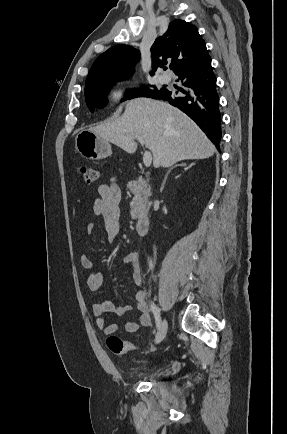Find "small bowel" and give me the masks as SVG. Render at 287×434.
I'll return each mask as SVG.
<instances>
[{"label": "small bowel", "instance_id": "1", "mask_svg": "<svg viewBox=\"0 0 287 434\" xmlns=\"http://www.w3.org/2000/svg\"><path fill=\"white\" fill-rule=\"evenodd\" d=\"M99 197L93 203L92 212L95 216L101 217L104 222V237L105 242L110 244L115 241L121 233L120 223V190L112 179L109 184H101L97 187ZM95 231L93 224L86 226V233L92 235ZM124 265L132 267L133 283L140 287L143 282L142 268L140 265L139 255L136 252H130L125 255L122 260ZM80 265L82 268L89 270L87 277V286L90 290L95 291L101 286L106 274L103 271L95 270L94 263L86 256L80 257ZM136 308L139 312L138 321H127L124 325L125 331L133 334L138 331L140 326L148 327L151 324V316L146 302V294L143 290H138L135 293ZM132 309L131 305H122L117 301L109 300L102 303L92 302L91 311L97 317V326L104 331L106 335H111L117 332L118 325L113 322H108L103 318L104 314L112 313L117 316H122Z\"/></svg>", "mask_w": 287, "mask_h": 434}]
</instances>
